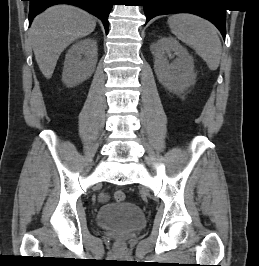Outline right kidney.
<instances>
[{
	"label": "right kidney",
	"instance_id": "1",
	"mask_svg": "<svg viewBox=\"0 0 259 266\" xmlns=\"http://www.w3.org/2000/svg\"><path fill=\"white\" fill-rule=\"evenodd\" d=\"M97 41L83 39L73 44L68 50L62 73V81L72 87L89 78L96 67L98 55Z\"/></svg>",
	"mask_w": 259,
	"mask_h": 266
}]
</instances>
